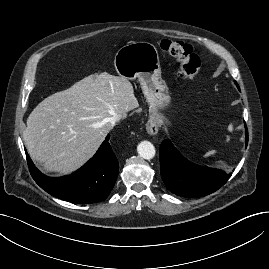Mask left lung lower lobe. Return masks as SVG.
<instances>
[{"label": "left lung lower lobe", "mask_w": 269, "mask_h": 269, "mask_svg": "<svg viewBox=\"0 0 269 269\" xmlns=\"http://www.w3.org/2000/svg\"><path fill=\"white\" fill-rule=\"evenodd\" d=\"M245 134L247 146V128ZM160 171L167 188L172 193L187 198L211 194L223 186L231 176V173L226 174L222 170L191 163L178 152L168 139L160 145Z\"/></svg>", "instance_id": "1"}]
</instances>
